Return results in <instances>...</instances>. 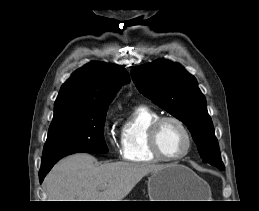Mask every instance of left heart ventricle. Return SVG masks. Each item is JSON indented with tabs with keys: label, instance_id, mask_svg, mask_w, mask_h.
Here are the masks:
<instances>
[{
	"label": "left heart ventricle",
	"instance_id": "1",
	"mask_svg": "<svg viewBox=\"0 0 259 211\" xmlns=\"http://www.w3.org/2000/svg\"><path fill=\"white\" fill-rule=\"evenodd\" d=\"M159 143L163 153L173 157L184 151L187 145V139L178 124L168 121L160 129Z\"/></svg>",
	"mask_w": 259,
	"mask_h": 211
}]
</instances>
